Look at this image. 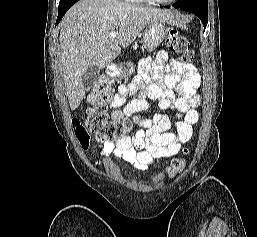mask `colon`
I'll use <instances>...</instances> for the list:
<instances>
[{"label":"colon","instance_id":"colon-1","mask_svg":"<svg viewBox=\"0 0 257 237\" xmlns=\"http://www.w3.org/2000/svg\"><path fill=\"white\" fill-rule=\"evenodd\" d=\"M168 47L177 53L185 62L192 61L193 53L188 38L177 30L171 31L167 38ZM114 81L107 77H100L92 87L88 101L90 106L86 110V121L82 124L73 119L74 134L83 148L89 146V131L101 142H114L123 139L134 127L128 119L111 120L108 114V103L114 96ZM186 166L185 158L174 159L167 168L170 176L181 172Z\"/></svg>","mask_w":257,"mask_h":237}]
</instances>
